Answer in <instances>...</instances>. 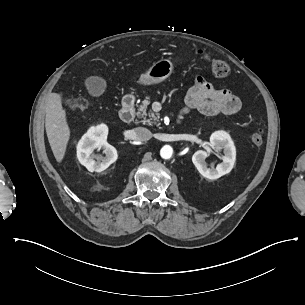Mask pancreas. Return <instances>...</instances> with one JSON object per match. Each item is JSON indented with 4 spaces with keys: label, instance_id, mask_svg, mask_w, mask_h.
I'll use <instances>...</instances> for the list:
<instances>
[{
    "label": "pancreas",
    "instance_id": "1",
    "mask_svg": "<svg viewBox=\"0 0 305 305\" xmlns=\"http://www.w3.org/2000/svg\"><path fill=\"white\" fill-rule=\"evenodd\" d=\"M149 99V97H146V99L142 101V104L139 106L136 115L138 118L143 119L141 121L143 124L156 125L158 122L159 114L154 113L151 110L147 112V106L150 104Z\"/></svg>",
    "mask_w": 305,
    "mask_h": 305
}]
</instances>
